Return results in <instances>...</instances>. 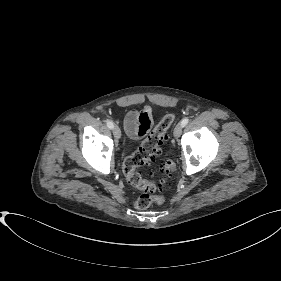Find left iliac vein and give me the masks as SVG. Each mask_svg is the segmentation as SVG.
Listing matches in <instances>:
<instances>
[{"label":"left iliac vein","mask_w":281,"mask_h":281,"mask_svg":"<svg viewBox=\"0 0 281 281\" xmlns=\"http://www.w3.org/2000/svg\"><path fill=\"white\" fill-rule=\"evenodd\" d=\"M182 129H183V126L181 123L177 124L176 127L174 128V136L176 138L180 137L181 133H182Z\"/></svg>","instance_id":"obj_1"}]
</instances>
